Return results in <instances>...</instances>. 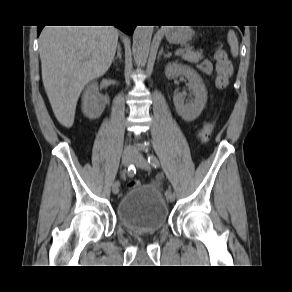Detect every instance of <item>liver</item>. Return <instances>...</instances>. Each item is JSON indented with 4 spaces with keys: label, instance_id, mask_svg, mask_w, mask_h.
I'll use <instances>...</instances> for the list:
<instances>
[{
    "label": "liver",
    "instance_id": "liver-1",
    "mask_svg": "<svg viewBox=\"0 0 292 292\" xmlns=\"http://www.w3.org/2000/svg\"><path fill=\"white\" fill-rule=\"evenodd\" d=\"M118 44L114 26H46L39 37L43 85L55 117L74 123L84 87L109 69Z\"/></svg>",
    "mask_w": 292,
    "mask_h": 292
}]
</instances>
